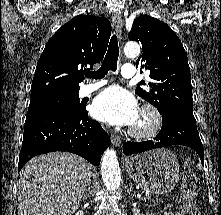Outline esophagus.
Returning a JSON list of instances; mask_svg holds the SVG:
<instances>
[{
  "mask_svg": "<svg viewBox=\"0 0 221 215\" xmlns=\"http://www.w3.org/2000/svg\"><path fill=\"white\" fill-rule=\"evenodd\" d=\"M112 23L119 35V39L121 40L122 39V18H121V15L120 13H114L112 15ZM111 142L113 144L114 147H120L121 145V138L116 135V134H111Z\"/></svg>",
  "mask_w": 221,
  "mask_h": 215,
  "instance_id": "obj_1",
  "label": "esophagus"
}]
</instances>
